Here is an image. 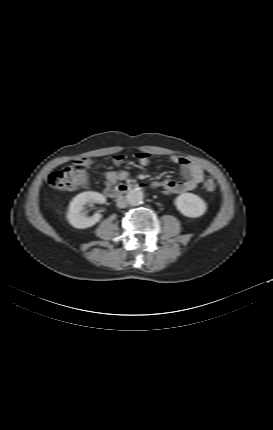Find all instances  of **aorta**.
Instances as JSON below:
<instances>
[{"mask_svg": "<svg viewBox=\"0 0 273 430\" xmlns=\"http://www.w3.org/2000/svg\"><path fill=\"white\" fill-rule=\"evenodd\" d=\"M144 194L141 189H131L126 196V199L130 205L137 206L143 201Z\"/></svg>", "mask_w": 273, "mask_h": 430, "instance_id": "762f6f07", "label": "aorta"}]
</instances>
